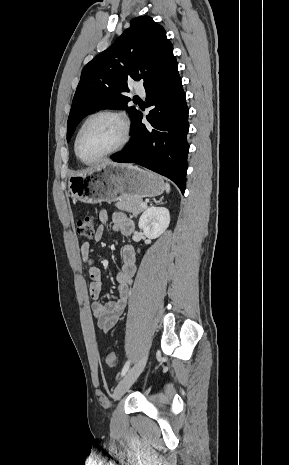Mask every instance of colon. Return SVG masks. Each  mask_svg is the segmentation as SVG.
<instances>
[{
  "label": "colon",
  "mask_w": 289,
  "mask_h": 465,
  "mask_svg": "<svg viewBox=\"0 0 289 465\" xmlns=\"http://www.w3.org/2000/svg\"><path fill=\"white\" fill-rule=\"evenodd\" d=\"M76 230L81 238L90 240L95 236V222L91 215H85L76 223ZM105 362L109 367H114L117 363L116 355L109 352L105 356Z\"/></svg>",
  "instance_id": "1"
}]
</instances>
